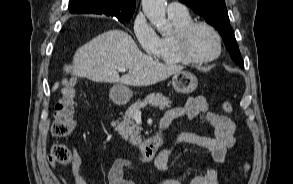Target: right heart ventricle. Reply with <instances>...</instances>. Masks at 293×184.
Wrapping results in <instances>:
<instances>
[{"label":"right heart ventricle","instance_id":"right-heart-ventricle-1","mask_svg":"<svg viewBox=\"0 0 293 184\" xmlns=\"http://www.w3.org/2000/svg\"><path fill=\"white\" fill-rule=\"evenodd\" d=\"M173 24V31L170 34L163 35L159 39V46L154 57L167 64H179L183 61L178 57L175 46H174V35L175 33L185 25L192 22L191 16L187 13L182 16H169Z\"/></svg>","mask_w":293,"mask_h":184}]
</instances>
